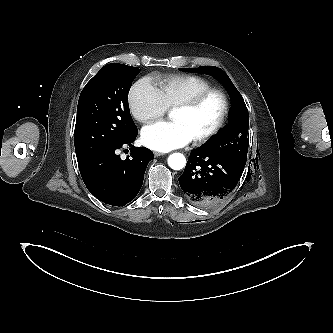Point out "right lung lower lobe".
I'll return each mask as SVG.
<instances>
[{
    "mask_svg": "<svg viewBox=\"0 0 333 333\" xmlns=\"http://www.w3.org/2000/svg\"><path fill=\"white\" fill-rule=\"evenodd\" d=\"M138 131L129 138L107 148L90 159L78 162L82 179L87 189L100 201L124 206L138 194L146 167L153 159V152L145 147L133 148L126 160H121L117 149L131 146Z\"/></svg>",
    "mask_w": 333,
    "mask_h": 333,
    "instance_id": "obj_1",
    "label": "right lung lower lobe"
}]
</instances>
